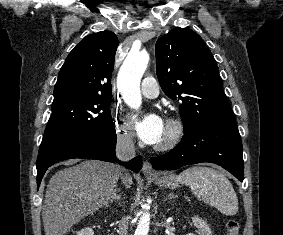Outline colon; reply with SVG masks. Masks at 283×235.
Returning <instances> with one entry per match:
<instances>
[{
	"instance_id": "colon-1",
	"label": "colon",
	"mask_w": 283,
	"mask_h": 235,
	"mask_svg": "<svg viewBox=\"0 0 283 235\" xmlns=\"http://www.w3.org/2000/svg\"><path fill=\"white\" fill-rule=\"evenodd\" d=\"M226 235H239V223L235 219H227L225 221Z\"/></svg>"
}]
</instances>
